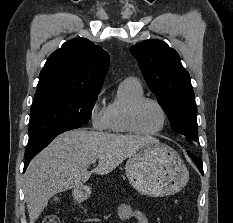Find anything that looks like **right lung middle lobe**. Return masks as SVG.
<instances>
[{"instance_id": "obj_1", "label": "right lung middle lobe", "mask_w": 233, "mask_h": 223, "mask_svg": "<svg viewBox=\"0 0 233 223\" xmlns=\"http://www.w3.org/2000/svg\"><path fill=\"white\" fill-rule=\"evenodd\" d=\"M98 94L49 92L34 96L25 156L41 151L62 132L87 123Z\"/></svg>"}]
</instances>
